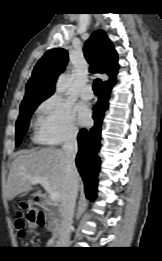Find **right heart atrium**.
<instances>
[{
	"label": "right heart atrium",
	"instance_id": "1",
	"mask_svg": "<svg viewBox=\"0 0 162 261\" xmlns=\"http://www.w3.org/2000/svg\"><path fill=\"white\" fill-rule=\"evenodd\" d=\"M37 126L36 138L42 143L67 142L73 140L78 133L72 107L57 95L50 96L42 103Z\"/></svg>",
	"mask_w": 162,
	"mask_h": 261
}]
</instances>
